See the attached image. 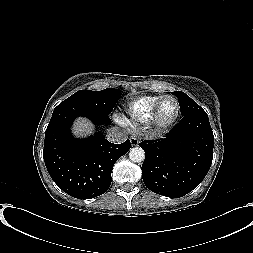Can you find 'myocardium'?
Instances as JSON below:
<instances>
[{
  "label": "myocardium",
  "mask_w": 253,
  "mask_h": 253,
  "mask_svg": "<svg viewBox=\"0 0 253 253\" xmlns=\"http://www.w3.org/2000/svg\"><path fill=\"white\" fill-rule=\"evenodd\" d=\"M165 99H172L175 102L176 112H175V115L170 120L166 122H162L159 120V110H160V106L162 102ZM180 110L181 109H180L179 101L175 96H172V95L161 96L151 111L150 117L148 119V128L150 129V131L154 133L164 132L165 130L169 129L177 121L180 115Z\"/></svg>",
  "instance_id": "myocardium-1"
}]
</instances>
